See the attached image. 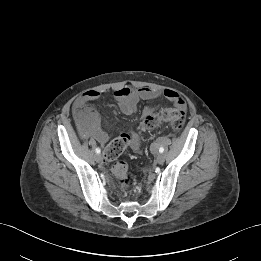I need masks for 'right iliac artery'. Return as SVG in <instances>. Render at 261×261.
<instances>
[{
	"label": "right iliac artery",
	"mask_w": 261,
	"mask_h": 261,
	"mask_svg": "<svg viewBox=\"0 0 261 261\" xmlns=\"http://www.w3.org/2000/svg\"><path fill=\"white\" fill-rule=\"evenodd\" d=\"M95 151L97 154H100V152H101L100 148H96Z\"/></svg>",
	"instance_id": "right-iliac-artery-1"
}]
</instances>
